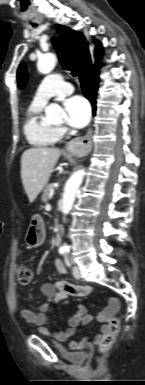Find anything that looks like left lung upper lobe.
Returning a JSON list of instances; mask_svg holds the SVG:
<instances>
[{
    "label": "left lung upper lobe",
    "mask_w": 145,
    "mask_h": 385,
    "mask_svg": "<svg viewBox=\"0 0 145 385\" xmlns=\"http://www.w3.org/2000/svg\"><path fill=\"white\" fill-rule=\"evenodd\" d=\"M18 86L23 88L27 81V72L24 64H21L17 71Z\"/></svg>",
    "instance_id": "5c2ea615"
}]
</instances>
